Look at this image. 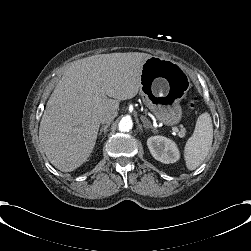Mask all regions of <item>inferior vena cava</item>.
Masks as SVG:
<instances>
[{"instance_id": "602c4592", "label": "inferior vena cava", "mask_w": 251, "mask_h": 251, "mask_svg": "<svg viewBox=\"0 0 251 251\" xmlns=\"http://www.w3.org/2000/svg\"><path fill=\"white\" fill-rule=\"evenodd\" d=\"M112 122V119L109 117H105L103 119H101V123L103 124H110Z\"/></svg>"}]
</instances>
